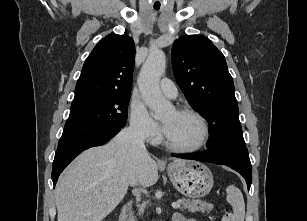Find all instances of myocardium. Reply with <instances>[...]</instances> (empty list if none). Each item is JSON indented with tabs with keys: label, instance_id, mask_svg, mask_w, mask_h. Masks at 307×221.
Segmentation results:
<instances>
[{
	"label": "myocardium",
	"instance_id": "f54148a6",
	"mask_svg": "<svg viewBox=\"0 0 307 221\" xmlns=\"http://www.w3.org/2000/svg\"><path fill=\"white\" fill-rule=\"evenodd\" d=\"M176 111L178 113H181V114L191 115L198 120V122L200 123V126H201V137L198 140V142H196L195 144H193L191 146H177V145L172 144L168 140L166 133L164 131L163 142H164L165 146L169 150H171L173 152H177V153H192V152L200 150L207 143V141L209 139V135H210L209 125H208L206 118L199 111H197L193 108H190V107L179 108Z\"/></svg>",
	"mask_w": 307,
	"mask_h": 221
}]
</instances>
